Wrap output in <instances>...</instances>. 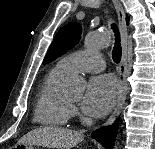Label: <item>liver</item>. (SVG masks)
<instances>
[{
	"instance_id": "6515ba94",
	"label": "liver",
	"mask_w": 155,
	"mask_h": 149,
	"mask_svg": "<svg viewBox=\"0 0 155 149\" xmlns=\"http://www.w3.org/2000/svg\"><path fill=\"white\" fill-rule=\"evenodd\" d=\"M83 138L84 135L77 131L57 127H41L21 137L18 144L28 143L50 149H72Z\"/></svg>"
}]
</instances>
